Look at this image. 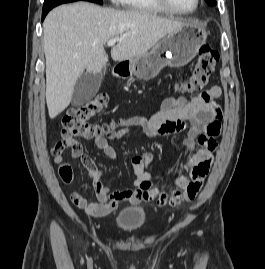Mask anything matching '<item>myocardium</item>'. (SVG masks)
Segmentation results:
<instances>
[{
    "label": "myocardium",
    "mask_w": 265,
    "mask_h": 269,
    "mask_svg": "<svg viewBox=\"0 0 265 269\" xmlns=\"http://www.w3.org/2000/svg\"><path fill=\"white\" fill-rule=\"evenodd\" d=\"M162 9H164L167 12L176 13V14H192L194 13L197 8L199 7L200 0H195V5L191 10H180L175 7H173L168 0H154Z\"/></svg>",
    "instance_id": "f54148a6"
}]
</instances>
